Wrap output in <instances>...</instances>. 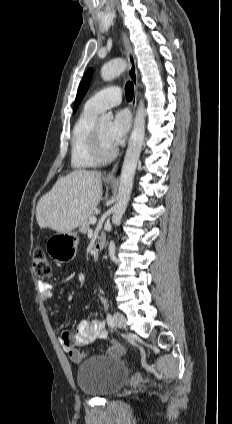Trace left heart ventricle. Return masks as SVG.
<instances>
[{
  "label": "left heart ventricle",
  "instance_id": "obj_1",
  "mask_svg": "<svg viewBox=\"0 0 232 424\" xmlns=\"http://www.w3.org/2000/svg\"><path fill=\"white\" fill-rule=\"evenodd\" d=\"M109 128H110L109 122L99 124L102 146H103L105 153H110L114 149V147L111 145L109 138H108Z\"/></svg>",
  "mask_w": 232,
  "mask_h": 424
}]
</instances>
